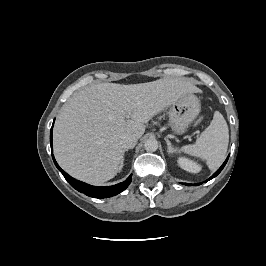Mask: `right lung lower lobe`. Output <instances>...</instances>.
Returning a JSON list of instances; mask_svg holds the SVG:
<instances>
[{
	"mask_svg": "<svg viewBox=\"0 0 266 266\" xmlns=\"http://www.w3.org/2000/svg\"><path fill=\"white\" fill-rule=\"evenodd\" d=\"M52 138H53V125L50 130V144H51V150L53 152V146H52ZM53 161L56 165V167L59 169V171L63 174L65 179L68 181V183L75 188L77 191L86 194L87 196L94 197V198H107L115 196L122 191H124L128 185L131 183V176L130 175L124 182L118 183L113 186H105V187H99V186H92L89 184H86L84 182H81L79 180H76L72 178L70 175H68L64 170H62L59 165L57 164L53 154H52Z\"/></svg>",
	"mask_w": 266,
	"mask_h": 266,
	"instance_id": "right-lung-lower-lobe-1",
	"label": "right lung lower lobe"
}]
</instances>
